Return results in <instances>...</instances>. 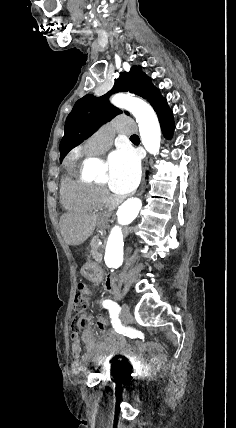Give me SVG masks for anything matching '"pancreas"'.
I'll return each instance as SVG.
<instances>
[{"label":"pancreas","mask_w":236,"mask_h":428,"mask_svg":"<svg viewBox=\"0 0 236 428\" xmlns=\"http://www.w3.org/2000/svg\"><path fill=\"white\" fill-rule=\"evenodd\" d=\"M100 240L98 238H93L90 242L91 246V256L93 260H96V262H101L103 258L102 252H100L101 248H104V246H99Z\"/></svg>","instance_id":"cf45deb5"}]
</instances>
